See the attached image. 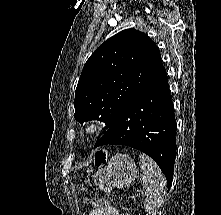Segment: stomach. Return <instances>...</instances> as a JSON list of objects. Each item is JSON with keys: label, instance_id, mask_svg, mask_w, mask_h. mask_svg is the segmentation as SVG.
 Listing matches in <instances>:
<instances>
[{"label": "stomach", "instance_id": "1", "mask_svg": "<svg viewBox=\"0 0 221 215\" xmlns=\"http://www.w3.org/2000/svg\"><path fill=\"white\" fill-rule=\"evenodd\" d=\"M137 167L127 155L116 154L106 166H100L93 175L95 184L104 192L129 186L136 178Z\"/></svg>", "mask_w": 221, "mask_h": 215}]
</instances>
